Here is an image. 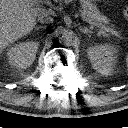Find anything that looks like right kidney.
Listing matches in <instances>:
<instances>
[{
	"label": "right kidney",
	"mask_w": 128,
	"mask_h": 128,
	"mask_svg": "<svg viewBox=\"0 0 128 128\" xmlns=\"http://www.w3.org/2000/svg\"><path fill=\"white\" fill-rule=\"evenodd\" d=\"M38 42L26 41L15 44L7 52L8 63L18 69H26L35 60Z\"/></svg>",
	"instance_id": "right-kidney-1"
}]
</instances>
